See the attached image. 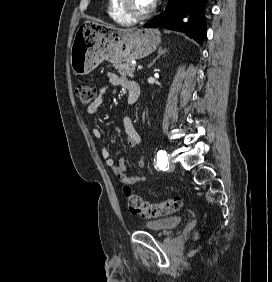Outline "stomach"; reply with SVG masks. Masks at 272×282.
Instances as JSON below:
<instances>
[{
  "label": "stomach",
  "instance_id": "obj_1",
  "mask_svg": "<svg viewBox=\"0 0 272 282\" xmlns=\"http://www.w3.org/2000/svg\"><path fill=\"white\" fill-rule=\"evenodd\" d=\"M160 41L153 29H120L85 22L77 30L71 46V68L76 75H86L104 60L120 64L141 59L153 53Z\"/></svg>",
  "mask_w": 272,
  "mask_h": 282
}]
</instances>
